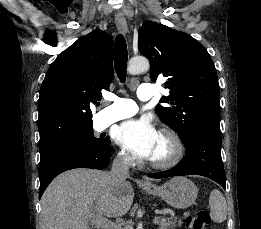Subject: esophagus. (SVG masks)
Here are the masks:
<instances>
[{
  "mask_svg": "<svg viewBox=\"0 0 261 229\" xmlns=\"http://www.w3.org/2000/svg\"><path fill=\"white\" fill-rule=\"evenodd\" d=\"M115 23L119 32H121L122 34H127L128 26H127L126 19L123 15H116ZM143 184H150V183L148 181H144Z\"/></svg>",
  "mask_w": 261,
  "mask_h": 229,
  "instance_id": "1",
  "label": "esophagus"
}]
</instances>
